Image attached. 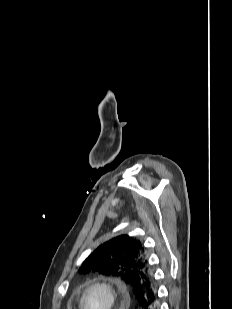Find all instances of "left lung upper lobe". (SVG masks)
<instances>
[{
	"label": "left lung upper lobe",
	"instance_id": "1",
	"mask_svg": "<svg viewBox=\"0 0 232 309\" xmlns=\"http://www.w3.org/2000/svg\"><path fill=\"white\" fill-rule=\"evenodd\" d=\"M78 272L122 279L138 303L146 300L155 288L142 243L128 235L100 245L85 259Z\"/></svg>",
	"mask_w": 232,
	"mask_h": 309
}]
</instances>
